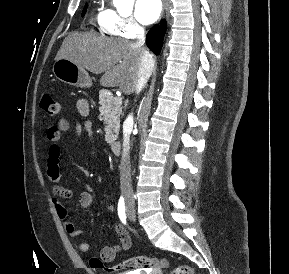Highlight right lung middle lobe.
Listing matches in <instances>:
<instances>
[{"label":"right lung middle lobe","instance_id":"obj_1","mask_svg":"<svg viewBox=\"0 0 289 274\" xmlns=\"http://www.w3.org/2000/svg\"><path fill=\"white\" fill-rule=\"evenodd\" d=\"M86 9H87V4H86V6H85V8H84V10H83V12H82V17L85 15Z\"/></svg>","mask_w":289,"mask_h":274}]
</instances>
